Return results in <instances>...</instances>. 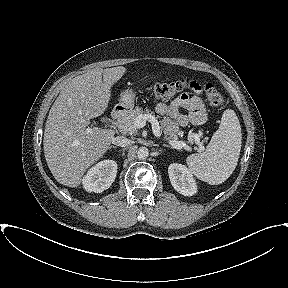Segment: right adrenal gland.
Segmentation results:
<instances>
[{"label": "right adrenal gland", "mask_w": 288, "mask_h": 288, "mask_svg": "<svg viewBox=\"0 0 288 288\" xmlns=\"http://www.w3.org/2000/svg\"><path fill=\"white\" fill-rule=\"evenodd\" d=\"M111 148H114V149H115V148H117V147H116V146H110L109 149L111 150Z\"/></svg>", "instance_id": "2a0ac1e0"}]
</instances>
